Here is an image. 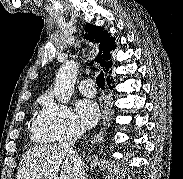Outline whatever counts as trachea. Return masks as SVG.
<instances>
[{"mask_svg":"<svg viewBox=\"0 0 183 179\" xmlns=\"http://www.w3.org/2000/svg\"><path fill=\"white\" fill-rule=\"evenodd\" d=\"M96 83H97V85H98L99 88L104 89L105 79H104V73L102 71L97 76Z\"/></svg>","mask_w":183,"mask_h":179,"instance_id":"trachea-1","label":"trachea"}]
</instances>
